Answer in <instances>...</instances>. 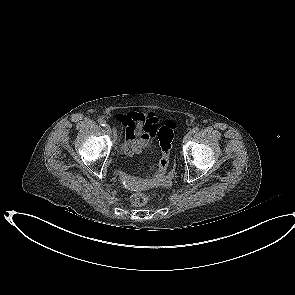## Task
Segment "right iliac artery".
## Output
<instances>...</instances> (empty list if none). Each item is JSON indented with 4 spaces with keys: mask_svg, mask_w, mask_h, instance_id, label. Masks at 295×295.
Segmentation results:
<instances>
[{
    "mask_svg": "<svg viewBox=\"0 0 295 295\" xmlns=\"http://www.w3.org/2000/svg\"><path fill=\"white\" fill-rule=\"evenodd\" d=\"M98 123L101 125V126H105L106 124V122L103 120V119H98Z\"/></svg>",
    "mask_w": 295,
    "mask_h": 295,
    "instance_id": "obj_1",
    "label": "right iliac artery"
}]
</instances>
